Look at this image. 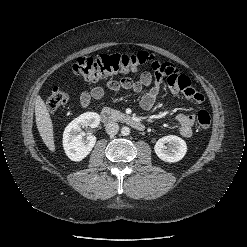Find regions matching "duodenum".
<instances>
[{
	"mask_svg": "<svg viewBox=\"0 0 247 247\" xmlns=\"http://www.w3.org/2000/svg\"><path fill=\"white\" fill-rule=\"evenodd\" d=\"M100 117H101L102 122L107 123V124L112 123L118 119L117 116L113 113V111L109 108L103 109L100 114ZM121 120L125 124L133 127L134 129L138 131H143L145 129V125L141 121L135 118L124 117V118H121Z\"/></svg>",
	"mask_w": 247,
	"mask_h": 247,
	"instance_id": "duodenum-1",
	"label": "duodenum"
}]
</instances>
